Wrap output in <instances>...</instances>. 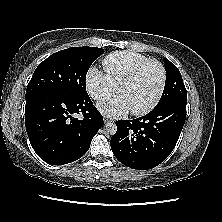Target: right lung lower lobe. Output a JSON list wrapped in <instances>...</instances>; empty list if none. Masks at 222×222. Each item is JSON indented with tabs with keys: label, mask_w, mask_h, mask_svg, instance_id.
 Listing matches in <instances>:
<instances>
[{
	"label": "right lung lower lobe",
	"mask_w": 222,
	"mask_h": 222,
	"mask_svg": "<svg viewBox=\"0 0 222 222\" xmlns=\"http://www.w3.org/2000/svg\"><path fill=\"white\" fill-rule=\"evenodd\" d=\"M82 114L83 119L74 118ZM90 97L42 92L26 99L25 125L36 154L52 165L81 158L103 126Z\"/></svg>",
	"instance_id": "98d812e1"
}]
</instances>
